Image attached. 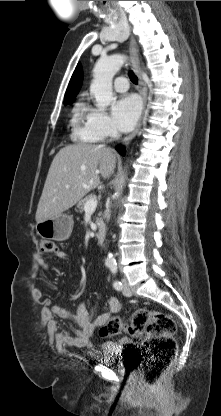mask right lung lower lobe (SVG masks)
Segmentation results:
<instances>
[{"label":"right lung lower lobe","mask_w":221,"mask_h":416,"mask_svg":"<svg viewBox=\"0 0 221 416\" xmlns=\"http://www.w3.org/2000/svg\"><path fill=\"white\" fill-rule=\"evenodd\" d=\"M116 149H117V151H118L121 155H124L125 150H124V148H123V147L118 146Z\"/></svg>","instance_id":"1"}]
</instances>
